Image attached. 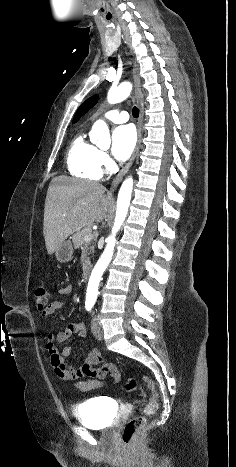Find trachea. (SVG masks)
I'll list each match as a JSON object with an SVG mask.
<instances>
[{
  "label": "trachea",
  "mask_w": 236,
  "mask_h": 467,
  "mask_svg": "<svg viewBox=\"0 0 236 467\" xmlns=\"http://www.w3.org/2000/svg\"><path fill=\"white\" fill-rule=\"evenodd\" d=\"M132 115L133 117L135 118H138L139 117V109L137 107H134L133 110H132Z\"/></svg>",
  "instance_id": "trachea-1"
}]
</instances>
